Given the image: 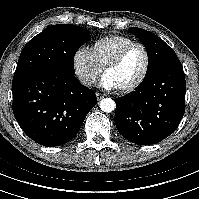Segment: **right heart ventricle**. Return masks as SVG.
Segmentation results:
<instances>
[{
	"label": "right heart ventricle",
	"instance_id": "e07e8e85",
	"mask_svg": "<svg viewBox=\"0 0 199 199\" xmlns=\"http://www.w3.org/2000/svg\"><path fill=\"white\" fill-rule=\"evenodd\" d=\"M131 42L134 41L126 36L108 35L92 44L90 54L95 64L102 70L121 48Z\"/></svg>",
	"mask_w": 199,
	"mask_h": 199
}]
</instances>
